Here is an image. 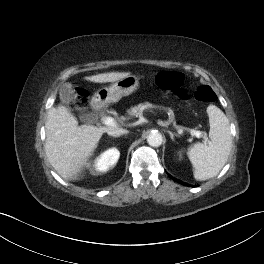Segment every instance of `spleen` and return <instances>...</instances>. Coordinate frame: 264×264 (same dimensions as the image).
<instances>
[{"mask_svg":"<svg viewBox=\"0 0 264 264\" xmlns=\"http://www.w3.org/2000/svg\"><path fill=\"white\" fill-rule=\"evenodd\" d=\"M210 141L195 143L188 148V157L194 168V178L199 181L216 176L224 167L232 147L229 120L215 105L207 107Z\"/></svg>","mask_w":264,"mask_h":264,"instance_id":"spleen-1","label":"spleen"}]
</instances>
